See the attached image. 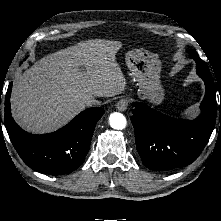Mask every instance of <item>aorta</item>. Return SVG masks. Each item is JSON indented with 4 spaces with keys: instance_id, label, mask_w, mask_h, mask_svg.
Masks as SVG:
<instances>
[{
    "instance_id": "1",
    "label": "aorta",
    "mask_w": 221,
    "mask_h": 221,
    "mask_svg": "<svg viewBox=\"0 0 221 221\" xmlns=\"http://www.w3.org/2000/svg\"><path fill=\"white\" fill-rule=\"evenodd\" d=\"M126 118L119 112L111 113L109 116V124L113 129L122 130L126 127Z\"/></svg>"
}]
</instances>
